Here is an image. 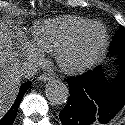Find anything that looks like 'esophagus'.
Listing matches in <instances>:
<instances>
[{"instance_id":"34e87169","label":"esophagus","mask_w":125,"mask_h":125,"mask_svg":"<svg viewBox=\"0 0 125 125\" xmlns=\"http://www.w3.org/2000/svg\"><path fill=\"white\" fill-rule=\"evenodd\" d=\"M50 78H51V77H49V76L46 75V74H43V75H41V76L38 77V79H39L40 81H43V82L49 81Z\"/></svg>"}]
</instances>
